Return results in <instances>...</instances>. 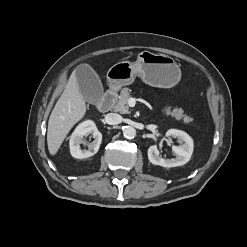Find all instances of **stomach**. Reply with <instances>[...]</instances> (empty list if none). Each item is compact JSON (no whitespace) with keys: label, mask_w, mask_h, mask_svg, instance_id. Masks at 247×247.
Masks as SVG:
<instances>
[{"label":"stomach","mask_w":247,"mask_h":247,"mask_svg":"<svg viewBox=\"0 0 247 247\" xmlns=\"http://www.w3.org/2000/svg\"><path fill=\"white\" fill-rule=\"evenodd\" d=\"M136 76L150 86L170 88L180 81L181 70L172 57L143 51L134 63L122 61L113 65L107 72V81L112 89H119L132 84Z\"/></svg>","instance_id":"stomach-1"}]
</instances>
